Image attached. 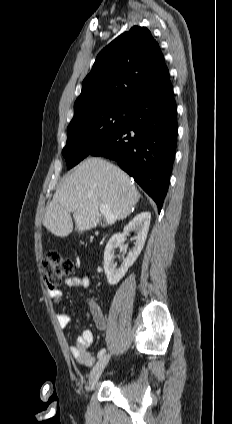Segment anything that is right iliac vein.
<instances>
[{"mask_svg": "<svg viewBox=\"0 0 232 424\" xmlns=\"http://www.w3.org/2000/svg\"><path fill=\"white\" fill-rule=\"evenodd\" d=\"M110 359V355H104L102 356L98 362L95 364L93 369L91 370L90 377H89V387L93 388L96 383L98 382L103 370L105 369L106 365L108 364Z\"/></svg>", "mask_w": 232, "mask_h": 424, "instance_id": "1", "label": "right iliac vein"}]
</instances>
